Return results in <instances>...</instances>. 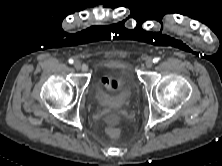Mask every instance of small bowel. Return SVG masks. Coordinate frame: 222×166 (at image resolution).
I'll list each match as a JSON object with an SVG mask.
<instances>
[{"instance_id":"c3829d8e","label":"small bowel","mask_w":222,"mask_h":166,"mask_svg":"<svg viewBox=\"0 0 222 166\" xmlns=\"http://www.w3.org/2000/svg\"><path fill=\"white\" fill-rule=\"evenodd\" d=\"M102 85L112 91H117L120 88V82L116 79L102 78Z\"/></svg>"}]
</instances>
